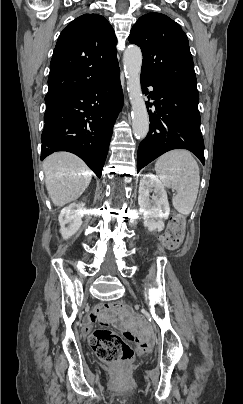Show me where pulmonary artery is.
Here are the masks:
<instances>
[{
  "label": "pulmonary artery",
  "instance_id": "pulmonary-artery-1",
  "mask_svg": "<svg viewBox=\"0 0 243 404\" xmlns=\"http://www.w3.org/2000/svg\"><path fill=\"white\" fill-rule=\"evenodd\" d=\"M153 89V87H150V90H152Z\"/></svg>",
  "mask_w": 243,
  "mask_h": 404
}]
</instances>
